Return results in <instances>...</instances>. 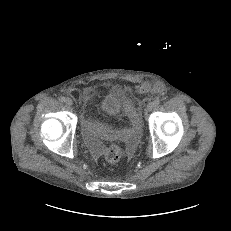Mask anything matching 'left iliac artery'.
I'll use <instances>...</instances> for the list:
<instances>
[{"instance_id":"44dca946","label":"left iliac artery","mask_w":231,"mask_h":231,"mask_svg":"<svg viewBox=\"0 0 231 231\" xmlns=\"http://www.w3.org/2000/svg\"><path fill=\"white\" fill-rule=\"evenodd\" d=\"M154 104H155V105H159V104H160V99H158V98L155 99V100H154Z\"/></svg>"}]
</instances>
